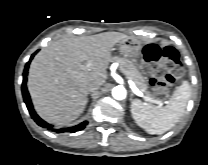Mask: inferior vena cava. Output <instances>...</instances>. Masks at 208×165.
Returning <instances> with one entry per match:
<instances>
[{"instance_id":"1","label":"inferior vena cava","mask_w":208,"mask_h":165,"mask_svg":"<svg viewBox=\"0 0 208 165\" xmlns=\"http://www.w3.org/2000/svg\"><path fill=\"white\" fill-rule=\"evenodd\" d=\"M100 88L99 85H96V84H92L88 87V91L89 92H92V91H95V90H98Z\"/></svg>"}]
</instances>
